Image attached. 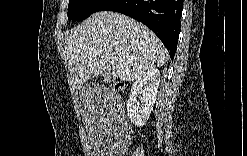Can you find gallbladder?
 Here are the masks:
<instances>
[{"instance_id": "bac80fb5", "label": "gallbladder", "mask_w": 247, "mask_h": 156, "mask_svg": "<svg viewBox=\"0 0 247 156\" xmlns=\"http://www.w3.org/2000/svg\"><path fill=\"white\" fill-rule=\"evenodd\" d=\"M110 79H111V75H110V74H108V75H107V77H106V80H108V81H109Z\"/></svg>"}]
</instances>
